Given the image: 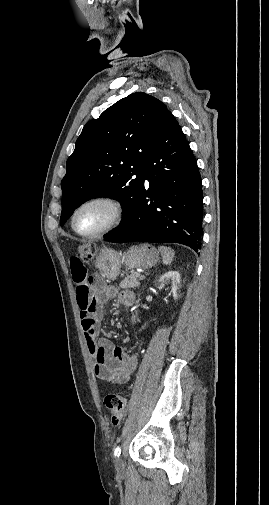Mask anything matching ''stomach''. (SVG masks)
Here are the masks:
<instances>
[{"label":"stomach","mask_w":269,"mask_h":505,"mask_svg":"<svg viewBox=\"0 0 269 505\" xmlns=\"http://www.w3.org/2000/svg\"><path fill=\"white\" fill-rule=\"evenodd\" d=\"M159 261V252L150 244L130 247L127 252L119 253L113 249H103L96 257L95 265L107 280H115L120 274L122 265L133 270L150 268Z\"/></svg>","instance_id":"1"}]
</instances>
